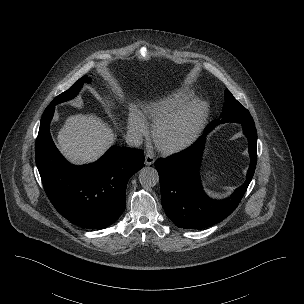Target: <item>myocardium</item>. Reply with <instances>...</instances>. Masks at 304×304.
I'll return each mask as SVG.
<instances>
[{
    "label": "myocardium",
    "instance_id": "myocardium-1",
    "mask_svg": "<svg viewBox=\"0 0 304 304\" xmlns=\"http://www.w3.org/2000/svg\"><path fill=\"white\" fill-rule=\"evenodd\" d=\"M209 114L208 104L201 99H191L181 108L170 113L154 124L153 138L156 144L165 152H177L190 146L201 133ZM188 120L189 127L179 138L165 137L166 129L179 121Z\"/></svg>",
    "mask_w": 304,
    "mask_h": 304
}]
</instances>
